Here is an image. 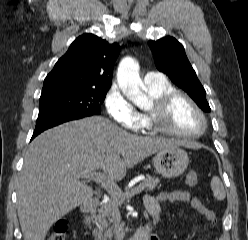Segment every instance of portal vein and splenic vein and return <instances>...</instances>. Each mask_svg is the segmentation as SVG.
Returning a JSON list of instances; mask_svg holds the SVG:
<instances>
[{
    "label": "portal vein and splenic vein",
    "instance_id": "obj_1",
    "mask_svg": "<svg viewBox=\"0 0 248 240\" xmlns=\"http://www.w3.org/2000/svg\"><path fill=\"white\" fill-rule=\"evenodd\" d=\"M81 174L88 176V178H92L97 183L101 184L111 196L117 195L121 193V189L118 185L109 177H107L104 173L100 171L93 170H82ZM144 189L142 183L135 186L131 191L123 193L125 198H130L138 193H140Z\"/></svg>",
    "mask_w": 248,
    "mask_h": 240
}]
</instances>
